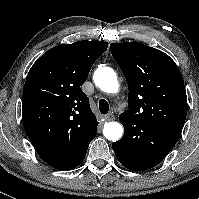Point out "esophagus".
I'll list each match as a JSON object with an SVG mask.
<instances>
[{"label":"esophagus","instance_id":"1","mask_svg":"<svg viewBox=\"0 0 199 199\" xmlns=\"http://www.w3.org/2000/svg\"><path fill=\"white\" fill-rule=\"evenodd\" d=\"M115 119V116L113 114H108L104 116L105 121H112Z\"/></svg>","mask_w":199,"mask_h":199}]
</instances>
